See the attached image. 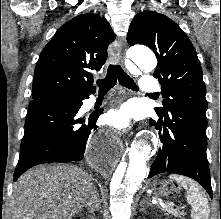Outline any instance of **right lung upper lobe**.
Instances as JSON below:
<instances>
[{"mask_svg": "<svg viewBox=\"0 0 221 219\" xmlns=\"http://www.w3.org/2000/svg\"><path fill=\"white\" fill-rule=\"evenodd\" d=\"M114 39L110 24L98 14H81L65 23L41 52L32 99L95 91L91 71L104 65Z\"/></svg>", "mask_w": 221, "mask_h": 219, "instance_id": "cb5924a9", "label": "right lung upper lobe"}]
</instances>
